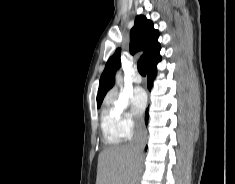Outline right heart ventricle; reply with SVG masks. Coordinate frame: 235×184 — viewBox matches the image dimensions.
Wrapping results in <instances>:
<instances>
[{
	"instance_id": "e07e8e85",
	"label": "right heart ventricle",
	"mask_w": 235,
	"mask_h": 184,
	"mask_svg": "<svg viewBox=\"0 0 235 184\" xmlns=\"http://www.w3.org/2000/svg\"><path fill=\"white\" fill-rule=\"evenodd\" d=\"M101 124L104 140L109 146L108 149L102 154V158L106 160L112 159L121 153L123 145L122 138L116 131L112 113L107 109L102 110Z\"/></svg>"
}]
</instances>
